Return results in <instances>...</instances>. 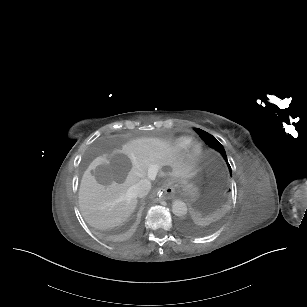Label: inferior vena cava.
I'll use <instances>...</instances> for the list:
<instances>
[{"label":"inferior vena cava","instance_id":"obj_1","mask_svg":"<svg viewBox=\"0 0 307 307\" xmlns=\"http://www.w3.org/2000/svg\"><path fill=\"white\" fill-rule=\"evenodd\" d=\"M151 190V181L150 179L140 180L136 185L132 187V193L136 197L146 196Z\"/></svg>","mask_w":307,"mask_h":307}]
</instances>
